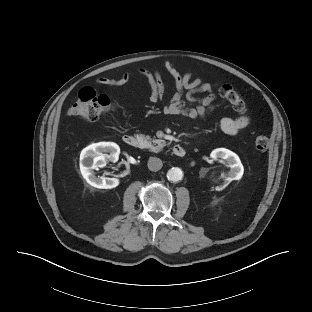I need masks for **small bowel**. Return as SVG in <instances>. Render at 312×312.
Here are the masks:
<instances>
[{
    "label": "small bowel",
    "mask_w": 312,
    "mask_h": 312,
    "mask_svg": "<svg viewBox=\"0 0 312 312\" xmlns=\"http://www.w3.org/2000/svg\"><path fill=\"white\" fill-rule=\"evenodd\" d=\"M167 70L175 79V92L169 103L164 107V113L190 119H205L215 108L216 96L212 93L211 87L203 83L201 79L192 80L189 73L181 75L171 64H167ZM138 72L150 84L152 101H159L164 93L160 73L157 70L150 72L145 69H140ZM129 79L130 75L126 73L116 79L100 77L97 79V83L107 86H122ZM199 92H207V95L202 98L195 97V94ZM249 122L250 118L248 116L224 117L220 121V127L226 134L236 135L246 128Z\"/></svg>",
    "instance_id": "obj_1"
}]
</instances>
